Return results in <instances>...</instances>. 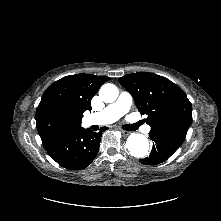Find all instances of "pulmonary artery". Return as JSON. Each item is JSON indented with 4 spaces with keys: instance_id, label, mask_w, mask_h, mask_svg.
Masks as SVG:
<instances>
[{
    "instance_id": "pulmonary-artery-1",
    "label": "pulmonary artery",
    "mask_w": 221,
    "mask_h": 221,
    "mask_svg": "<svg viewBox=\"0 0 221 221\" xmlns=\"http://www.w3.org/2000/svg\"><path fill=\"white\" fill-rule=\"evenodd\" d=\"M132 102L133 99L130 93L122 92L115 102L109 104L102 111L94 114L93 118L98 124L113 123L130 110ZM149 130V126L145 128L146 132Z\"/></svg>"
}]
</instances>
